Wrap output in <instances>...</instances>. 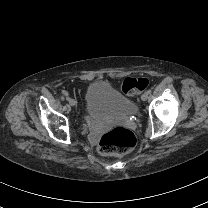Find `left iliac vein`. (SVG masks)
Wrapping results in <instances>:
<instances>
[{"label":"left iliac vein","instance_id":"obj_1","mask_svg":"<svg viewBox=\"0 0 208 208\" xmlns=\"http://www.w3.org/2000/svg\"><path fill=\"white\" fill-rule=\"evenodd\" d=\"M147 99H148V94L147 93L142 94L141 100L146 101Z\"/></svg>","mask_w":208,"mask_h":208}]
</instances>
